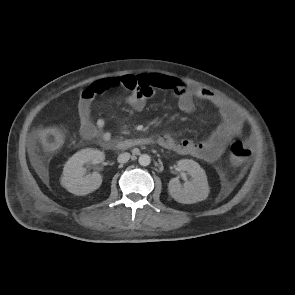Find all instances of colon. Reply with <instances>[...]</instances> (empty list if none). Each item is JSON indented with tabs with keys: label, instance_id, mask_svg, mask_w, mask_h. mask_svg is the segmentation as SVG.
Instances as JSON below:
<instances>
[{
	"label": "colon",
	"instance_id": "colon-1",
	"mask_svg": "<svg viewBox=\"0 0 295 295\" xmlns=\"http://www.w3.org/2000/svg\"><path fill=\"white\" fill-rule=\"evenodd\" d=\"M130 87L135 86L133 78L128 79ZM37 138L41 145L49 151L59 149L64 142L63 133L57 128H44L37 134ZM251 149L241 141H234L230 145V160L234 165L243 166L251 157Z\"/></svg>",
	"mask_w": 295,
	"mask_h": 295
}]
</instances>
